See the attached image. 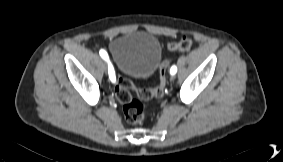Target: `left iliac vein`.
Segmentation results:
<instances>
[{"instance_id": "left-iliac-vein-1", "label": "left iliac vein", "mask_w": 283, "mask_h": 162, "mask_svg": "<svg viewBox=\"0 0 283 162\" xmlns=\"http://www.w3.org/2000/svg\"><path fill=\"white\" fill-rule=\"evenodd\" d=\"M170 79H171V80H174V79H175V76H174V75H171Z\"/></svg>"}]
</instances>
